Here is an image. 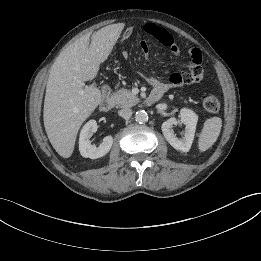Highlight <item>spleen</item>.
<instances>
[{"label": "spleen", "mask_w": 261, "mask_h": 261, "mask_svg": "<svg viewBox=\"0 0 261 261\" xmlns=\"http://www.w3.org/2000/svg\"><path fill=\"white\" fill-rule=\"evenodd\" d=\"M221 127L222 120L219 117H211L204 122L198 140V148L200 152H204L212 147L219 137Z\"/></svg>", "instance_id": "3e777b00"}]
</instances>
